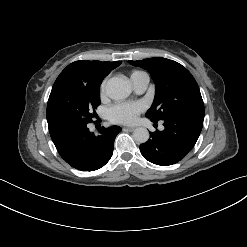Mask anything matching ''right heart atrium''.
<instances>
[{"instance_id": "obj_1", "label": "right heart atrium", "mask_w": 247, "mask_h": 247, "mask_svg": "<svg viewBox=\"0 0 247 247\" xmlns=\"http://www.w3.org/2000/svg\"><path fill=\"white\" fill-rule=\"evenodd\" d=\"M106 83H107V79H104L100 85V96L102 98L105 97L106 95Z\"/></svg>"}]
</instances>
